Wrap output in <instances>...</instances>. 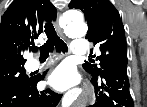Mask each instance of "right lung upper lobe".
<instances>
[{
	"mask_svg": "<svg viewBox=\"0 0 147 107\" xmlns=\"http://www.w3.org/2000/svg\"><path fill=\"white\" fill-rule=\"evenodd\" d=\"M56 13L49 0H14L1 19L0 69L24 65L23 51L43 32V21Z\"/></svg>",
	"mask_w": 147,
	"mask_h": 107,
	"instance_id": "right-lung-upper-lobe-1",
	"label": "right lung upper lobe"
}]
</instances>
